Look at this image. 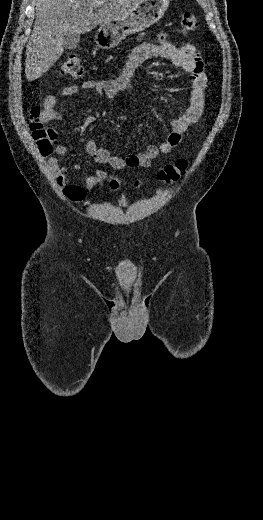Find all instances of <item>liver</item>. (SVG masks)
I'll list each match as a JSON object with an SVG mask.
<instances>
[{
    "label": "liver",
    "mask_w": 263,
    "mask_h": 520,
    "mask_svg": "<svg viewBox=\"0 0 263 520\" xmlns=\"http://www.w3.org/2000/svg\"><path fill=\"white\" fill-rule=\"evenodd\" d=\"M142 0H36V20L26 46L25 75L34 81L64 52V34H85L123 16Z\"/></svg>",
    "instance_id": "liver-1"
}]
</instances>
